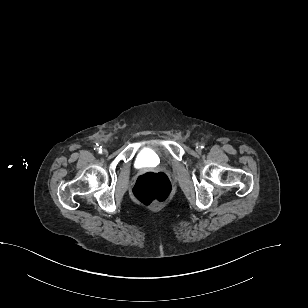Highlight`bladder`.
Instances as JSON below:
<instances>
[{
	"mask_svg": "<svg viewBox=\"0 0 308 308\" xmlns=\"http://www.w3.org/2000/svg\"><path fill=\"white\" fill-rule=\"evenodd\" d=\"M162 157L159 151L155 148H145L138 154L137 163L141 166H148L149 164H159Z\"/></svg>",
	"mask_w": 308,
	"mask_h": 308,
	"instance_id": "obj_1",
	"label": "bladder"
}]
</instances>
